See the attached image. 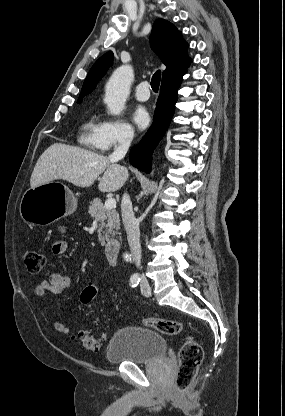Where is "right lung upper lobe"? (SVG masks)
I'll return each instance as SVG.
<instances>
[{
  "label": "right lung upper lobe",
  "instance_id": "right-lung-upper-lobe-1",
  "mask_svg": "<svg viewBox=\"0 0 285 416\" xmlns=\"http://www.w3.org/2000/svg\"><path fill=\"white\" fill-rule=\"evenodd\" d=\"M180 37L181 33L170 22L164 19L155 21L150 42L152 49L162 63L166 65V69L163 71L162 83L184 74L190 62V58L187 56L189 45ZM112 62L113 53L111 51L95 62L84 81L78 103L82 101L84 95L92 92L96 83L105 75Z\"/></svg>",
  "mask_w": 285,
  "mask_h": 416
}]
</instances>
